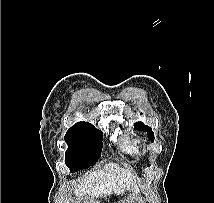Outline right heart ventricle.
<instances>
[{"instance_id": "obj_1", "label": "right heart ventricle", "mask_w": 214, "mask_h": 203, "mask_svg": "<svg viewBox=\"0 0 214 203\" xmlns=\"http://www.w3.org/2000/svg\"><path fill=\"white\" fill-rule=\"evenodd\" d=\"M141 141L139 138L125 134L120 142V149L131 156H138L141 154Z\"/></svg>"}]
</instances>
